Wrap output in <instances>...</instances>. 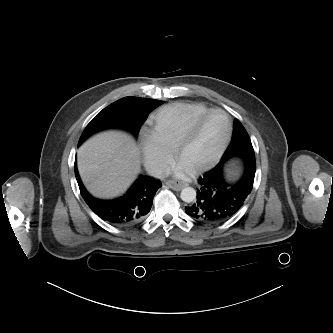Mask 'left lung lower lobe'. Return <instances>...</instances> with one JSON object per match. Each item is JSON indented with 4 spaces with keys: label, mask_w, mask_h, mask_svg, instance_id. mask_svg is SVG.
Instances as JSON below:
<instances>
[{
    "label": "left lung lower lobe",
    "mask_w": 333,
    "mask_h": 333,
    "mask_svg": "<svg viewBox=\"0 0 333 333\" xmlns=\"http://www.w3.org/2000/svg\"><path fill=\"white\" fill-rule=\"evenodd\" d=\"M239 159L244 169L237 183L228 184L223 178L224 167L230 160L221 161L198 180L197 200L185 207L188 215L200 222L216 223L228 219L243 206L253 188L256 161L251 155Z\"/></svg>",
    "instance_id": "1"
}]
</instances>
